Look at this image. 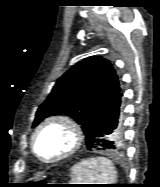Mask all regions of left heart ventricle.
Returning a JSON list of instances; mask_svg holds the SVG:
<instances>
[{"instance_id":"b2bd125f","label":"left heart ventricle","mask_w":160,"mask_h":187,"mask_svg":"<svg viewBox=\"0 0 160 187\" xmlns=\"http://www.w3.org/2000/svg\"><path fill=\"white\" fill-rule=\"evenodd\" d=\"M71 143L72 137L66 128L60 125H52L40 134L37 151L44 158H53L66 151Z\"/></svg>"}]
</instances>
